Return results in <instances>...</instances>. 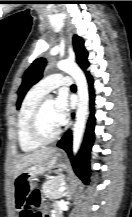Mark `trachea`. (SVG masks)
Returning <instances> with one entry per match:
<instances>
[{"label":"trachea","mask_w":132,"mask_h":217,"mask_svg":"<svg viewBox=\"0 0 132 217\" xmlns=\"http://www.w3.org/2000/svg\"><path fill=\"white\" fill-rule=\"evenodd\" d=\"M71 87L74 89V88H76V85H72Z\"/></svg>","instance_id":"1"}]
</instances>
